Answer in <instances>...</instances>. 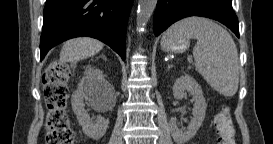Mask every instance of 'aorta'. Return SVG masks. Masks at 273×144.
<instances>
[{"label": "aorta", "instance_id": "762f6f07", "mask_svg": "<svg viewBox=\"0 0 273 144\" xmlns=\"http://www.w3.org/2000/svg\"><path fill=\"white\" fill-rule=\"evenodd\" d=\"M157 0H138L137 28L144 30L156 8Z\"/></svg>", "mask_w": 273, "mask_h": 144}]
</instances>
